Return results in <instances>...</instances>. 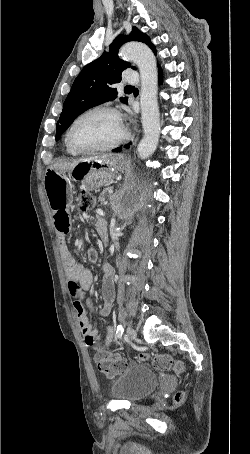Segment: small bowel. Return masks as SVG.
Returning <instances> with one entry per match:
<instances>
[{
    "label": "small bowel",
    "mask_w": 250,
    "mask_h": 454,
    "mask_svg": "<svg viewBox=\"0 0 250 454\" xmlns=\"http://www.w3.org/2000/svg\"><path fill=\"white\" fill-rule=\"evenodd\" d=\"M76 181L70 173H58L50 171L45 178V191L53 210L54 222L57 230L65 235L70 228L69 207L76 194ZM97 231L101 238L106 240V226L100 220L97 223ZM88 258L94 261L97 258V251L90 248L87 252ZM65 271L68 277V288L73 297V307L77 317L79 328L87 344H93L97 338V330L89 321L86 306L96 311L101 316H107L112 309L114 301L113 273L111 265L103 267V304L95 308L89 301L84 300V293L92 286L91 272L79 264L67 251L62 249ZM114 337L113 328L107 329L105 345L112 343Z\"/></svg>",
    "instance_id": "obj_1"
}]
</instances>
